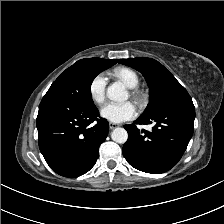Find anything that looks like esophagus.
<instances>
[{"instance_id": "obj_1", "label": "esophagus", "mask_w": 224, "mask_h": 224, "mask_svg": "<svg viewBox=\"0 0 224 224\" xmlns=\"http://www.w3.org/2000/svg\"><path fill=\"white\" fill-rule=\"evenodd\" d=\"M118 126H119L118 124H115V123H112V122L109 123V128H110L111 130L115 129V128L118 127Z\"/></svg>"}]
</instances>
